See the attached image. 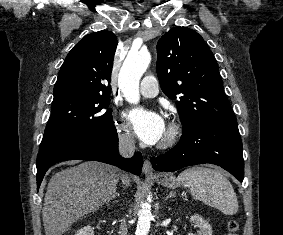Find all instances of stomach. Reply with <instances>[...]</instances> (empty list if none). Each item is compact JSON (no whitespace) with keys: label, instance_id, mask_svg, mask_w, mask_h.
<instances>
[{"label":"stomach","instance_id":"0dacf381","mask_svg":"<svg viewBox=\"0 0 283 235\" xmlns=\"http://www.w3.org/2000/svg\"><path fill=\"white\" fill-rule=\"evenodd\" d=\"M160 183L169 187V188H176L178 186V182L175 177L170 176L169 178H164L160 180Z\"/></svg>","mask_w":283,"mask_h":235}]
</instances>
